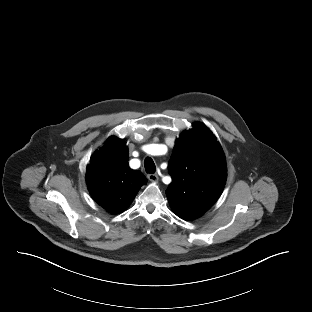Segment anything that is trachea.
Instances as JSON below:
<instances>
[{"mask_svg": "<svg viewBox=\"0 0 312 312\" xmlns=\"http://www.w3.org/2000/svg\"><path fill=\"white\" fill-rule=\"evenodd\" d=\"M144 166H145V170L147 173L153 174L156 170L154 161L152 160V158L147 157L144 161Z\"/></svg>", "mask_w": 312, "mask_h": 312, "instance_id": "3493384b", "label": "trachea"}]
</instances>
